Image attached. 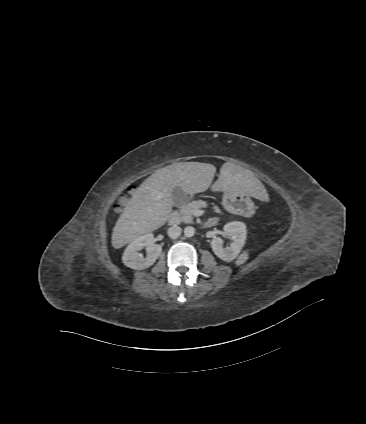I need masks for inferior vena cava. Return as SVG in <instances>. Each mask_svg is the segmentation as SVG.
I'll return each instance as SVG.
<instances>
[{"instance_id":"inferior-vena-cava-1","label":"inferior vena cava","mask_w":366,"mask_h":424,"mask_svg":"<svg viewBox=\"0 0 366 424\" xmlns=\"http://www.w3.org/2000/svg\"><path fill=\"white\" fill-rule=\"evenodd\" d=\"M182 229L179 226H172L168 229V236L172 239H176L181 235Z\"/></svg>"}]
</instances>
